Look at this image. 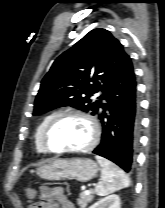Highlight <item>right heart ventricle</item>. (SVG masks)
Masks as SVG:
<instances>
[{"label": "right heart ventricle", "mask_w": 165, "mask_h": 208, "mask_svg": "<svg viewBox=\"0 0 165 208\" xmlns=\"http://www.w3.org/2000/svg\"><path fill=\"white\" fill-rule=\"evenodd\" d=\"M59 113L60 111H53L47 114L37 126L34 134V144L39 153H47V150L44 148L42 143V133L49 121Z\"/></svg>", "instance_id": "obj_1"}]
</instances>
